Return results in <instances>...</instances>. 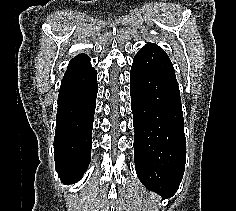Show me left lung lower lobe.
<instances>
[{"label": "left lung lower lobe", "instance_id": "left-lung-lower-lobe-1", "mask_svg": "<svg viewBox=\"0 0 236 211\" xmlns=\"http://www.w3.org/2000/svg\"><path fill=\"white\" fill-rule=\"evenodd\" d=\"M130 95L137 176L149 189L171 197L183 177L186 139L175 71L160 47L147 44L135 55Z\"/></svg>", "mask_w": 236, "mask_h": 211}]
</instances>
